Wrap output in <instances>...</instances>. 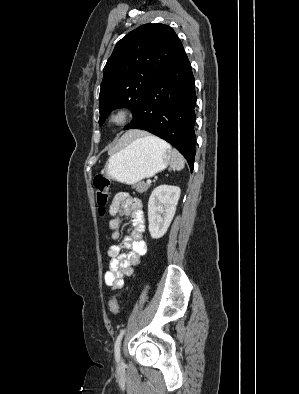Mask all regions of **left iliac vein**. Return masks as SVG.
Returning <instances> with one entry per match:
<instances>
[{"label": "left iliac vein", "mask_w": 299, "mask_h": 394, "mask_svg": "<svg viewBox=\"0 0 299 394\" xmlns=\"http://www.w3.org/2000/svg\"><path fill=\"white\" fill-rule=\"evenodd\" d=\"M119 363H120V364L122 363V359H119Z\"/></svg>", "instance_id": "obj_1"}]
</instances>
